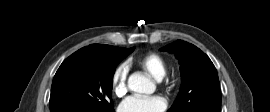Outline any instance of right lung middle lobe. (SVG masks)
<instances>
[{"mask_svg":"<svg viewBox=\"0 0 270 112\" xmlns=\"http://www.w3.org/2000/svg\"><path fill=\"white\" fill-rule=\"evenodd\" d=\"M134 49L108 45L99 53H73L54 76L50 112L57 109L114 112L113 75L118 63Z\"/></svg>","mask_w":270,"mask_h":112,"instance_id":"obj_1","label":"right lung middle lobe"}]
</instances>
